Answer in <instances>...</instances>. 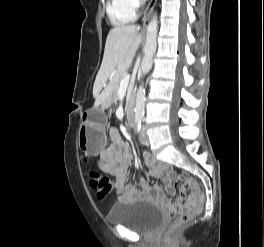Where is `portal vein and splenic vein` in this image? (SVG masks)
Wrapping results in <instances>:
<instances>
[{
    "mask_svg": "<svg viewBox=\"0 0 264 247\" xmlns=\"http://www.w3.org/2000/svg\"><path fill=\"white\" fill-rule=\"evenodd\" d=\"M113 75L114 74H112V76ZM129 80H130V76L126 75L120 82V89L127 88L128 84H129Z\"/></svg>",
    "mask_w": 264,
    "mask_h": 247,
    "instance_id": "18ae733b",
    "label": "portal vein and splenic vein"
}]
</instances>
